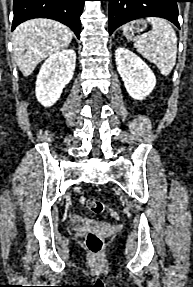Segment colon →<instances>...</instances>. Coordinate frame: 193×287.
Returning a JSON list of instances; mask_svg holds the SVG:
<instances>
[{
	"label": "colon",
	"instance_id": "1",
	"mask_svg": "<svg viewBox=\"0 0 193 287\" xmlns=\"http://www.w3.org/2000/svg\"><path fill=\"white\" fill-rule=\"evenodd\" d=\"M79 201L83 206H85L93 213L102 214L107 211L104 204L94 198H87L83 196L80 198ZM108 212L112 218H120V215L116 210H108ZM85 244L90 252L97 254L101 251L103 247V238L99 234L90 231L85 236Z\"/></svg>",
	"mask_w": 193,
	"mask_h": 287
}]
</instances>
